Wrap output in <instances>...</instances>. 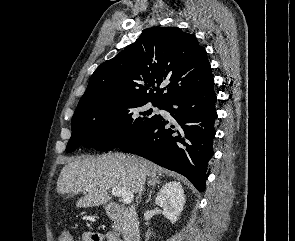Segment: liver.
<instances>
[{
    "instance_id": "obj_1",
    "label": "liver",
    "mask_w": 295,
    "mask_h": 241,
    "mask_svg": "<svg viewBox=\"0 0 295 241\" xmlns=\"http://www.w3.org/2000/svg\"><path fill=\"white\" fill-rule=\"evenodd\" d=\"M164 172L156 164L136 156L121 153L103 154L97 157L83 156L68 161L62 168L58 181L59 194L83 193L77 207L104 205L111 200L112 188H124L131 193H141V175L154 176Z\"/></svg>"
}]
</instances>
